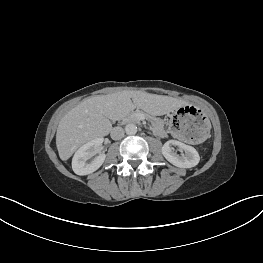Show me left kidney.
<instances>
[{
  "label": "left kidney",
  "mask_w": 263,
  "mask_h": 263,
  "mask_svg": "<svg viewBox=\"0 0 263 263\" xmlns=\"http://www.w3.org/2000/svg\"><path fill=\"white\" fill-rule=\"evenodd\" d=\"M173 146H177L184 151V154L178 155ZM162 154L171 164L179 168H191L200 161V156L196 149L177 140H169L162 147Z\"/></svg>",
  "instance_id": "obj_1"
}]
</instances>
